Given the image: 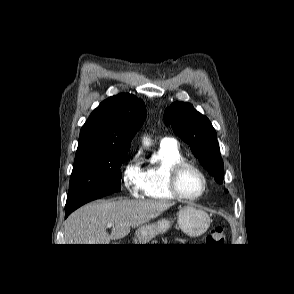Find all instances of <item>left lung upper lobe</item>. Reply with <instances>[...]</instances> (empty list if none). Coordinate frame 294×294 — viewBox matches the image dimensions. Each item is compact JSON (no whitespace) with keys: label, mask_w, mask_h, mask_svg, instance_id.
Masks as SVG:
<instances>
[{"label":"left lung upper lobe","mask_w":294,"mask_h":294,"mask_svg":"<svg viewBox=\"0 0 294 294\" xmlns=\"http://www.w3.org/2000/svg\"><path fill=\"white\" fill-rule=\"evenodd\" d=\"M164 122L189 144L191 151L217 183L224 179V165L216 132L206 116L189 103L173 102L164 112Z\"/></svg>","instance_id":"left-lung-upper-lobe-1"}]
</instances>
